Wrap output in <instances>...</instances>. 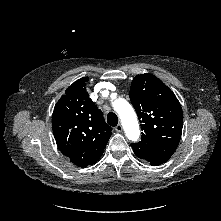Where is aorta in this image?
Returning a JSON list of instances; mask_svg holds the SVG:
<instances>
[{"mask_svg": "<svg viewBox=\"0 0 221 221\" xmlns=\"http://www.w3.org/2000/svg\"><path fill=\"white\" fill-rule=\"evenodd\" d=\"M113 107L120 116L127 138L136 141L139 138L140 130L132 106L126 100L119 98L113 102Z\"/></svg>", "mask_w": 221, "mask_h": 221, "instance_id": "obj_1", "label": "aorta"}]
</instances>
